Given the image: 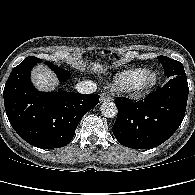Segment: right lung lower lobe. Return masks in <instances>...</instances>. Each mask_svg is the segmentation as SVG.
Wrapping results in <instances>:
<instances>
[{
  "instance_id": "1",
  "label": "right lung lower lobe",
  "mask_w": 195,
  "mask_h": 195,
  "mask_svg": "<svg viewBox=\"0 0 195 195\" xmlns=\"http://www.w3.org/2000/svg\"><path fill=\"white\" fill-rule=\"evenodd\" d=\"M36 59L27 57L12 70L3 91L6 114L17 134L29 144L60 148L72 140L83 115L98 104L99 95L39 92L30 81Z\"/></svg>"
}]
</instances>
